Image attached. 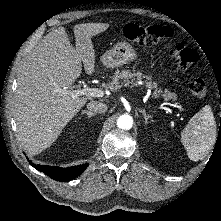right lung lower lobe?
Here are the masks:
<instances>
[{
    "label": "right lung lower lobe",
    "instance_id": "obj_1",
    "mask_svg": "<svg viewBox=\"0 0 221 221\" xmlns=\"http://www.w3.org/2000/svg\"><path fill=\"white\" fill-rule=\"evenodd\" d=\"M29 162L37 170L47 174L50 178L57 180V181H61V182L70 181L76 178L89 165L88 163H85L83 165H77V166H72L68 168H61V167L47 166V165H35L31 161Z\"/></svg>",
    "mask_w": 221,
    "mask_h": 221
}]
</instances>
